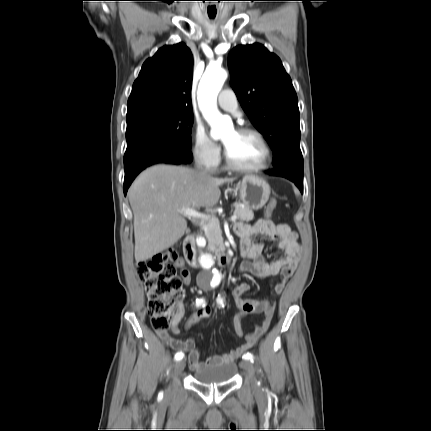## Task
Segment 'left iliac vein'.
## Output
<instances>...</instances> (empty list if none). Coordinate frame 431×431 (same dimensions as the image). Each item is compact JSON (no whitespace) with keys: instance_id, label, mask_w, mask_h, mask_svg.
<instances>
[{"instance_id":"left-iliac-vein-1","label":"left iliac vein","mask_w":431,"mask_h":431,"mask_svg":"<svg viewBox=\"0 0 431 431\" xmlns=\"http://www.w3.org/2000/svg\"><path fill=\"white\" fill-rule=\"evenodd\" d=\"M242 368L248 373L252 386L254 389H257V380L255 377V370H254V366L251 363L250 360L245 359L242 363H241Z\"/></svg>"}]
</instances>
